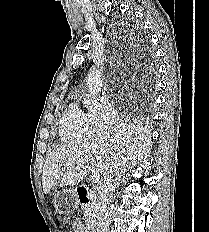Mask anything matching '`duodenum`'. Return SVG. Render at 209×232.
Masks as SVG:
<instances>
[{
    "instance_id": "obj_1",
    "label": "duodenum",
    "mask_w": 209,
    "mask_h": 232,
    "mask_svg": "<svg viewBox=\"0 0 209 232\" xmlns=\"http://www.w3.org/2000/svg\"><path fill=\"white\" fill-rule=\"evenodd\" d=\"M77 191H78V198L80 203L84 204L89 202L91 197V192L88 187L80 186L78 187ZM88 232H95V230L93 228H90Z\"/></svg>"
}]
</instances>
